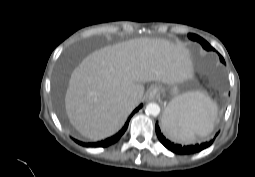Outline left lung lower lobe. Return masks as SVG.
Wrapping results in <instances>:
<instances>
[{"mask_svg":"<svg viewBox=\"0 0 255 177\" xmlns=\"http://www.w3.org/2000/svg\"><path fill=\"white\" fill-rule=\"evenodd\" d=\"M155 130H156V134L157 137L159 139V141L170 151H172L175 154H179V155H190V154H194V153H198L204 149H206L207 147H209L213 141H209V142H205V143H201V144H195V145H187V146H183L180 144H175L172 141L168 140L160 131V128L158 126V124L156 123L155 125ZM218 135V133L216 134V136Z\"/></svg>","mask_w":255,"mask_h":177,"instance_id":"left-lung-lower-lobe-1","label":"left lung lower lobe"}]
</instances>
